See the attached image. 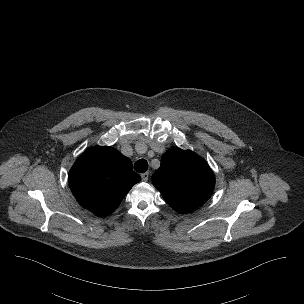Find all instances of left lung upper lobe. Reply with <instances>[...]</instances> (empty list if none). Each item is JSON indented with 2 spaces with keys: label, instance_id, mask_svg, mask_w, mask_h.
<instances>
[{
  "label": "left lung upper lobe",
  "instance_id": "5c2ea615",
  "mask_svg": "<svg viewBox=\"0 0 304 304\" xmlns=\"http://www.w3.org/2000/svg\"><path fill=\"white\" fill-rule=\"evenodd\" d=\"M152 183L173 209L187 213L207 201L215 177L207 162L194 152L170 149L162 156Z\"/></svg>",
  "mask_w": 304,
  "mask_h": 304
}]
</instances>
